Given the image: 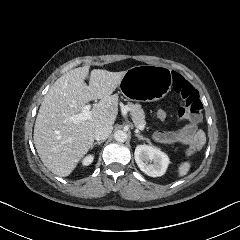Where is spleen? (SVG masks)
<instances>
[{"label":"spleen","mask_w":240,"mask_h":240,"mask_svg":"<svg viewBox=\"0 0 240 240\" xmlns=\"http://www.w3.org/2000/svg\"><path fill=\"white\" fill-rule=\"evenodd\" d=\"M188 168H189V165H188V164H184V165L181 167L180 173H181L182 175H184V174L188 171Z\"/></svg>","instance_id":"obj_1"}]
</instances>
